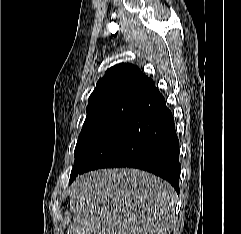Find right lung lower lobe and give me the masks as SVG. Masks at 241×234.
Returning <instances> with one entry per match:
<instances>
[{"label": "right lung lower lobe", "mask_w": 241, "mask_h": 234, "mask_svg": "<svg viewBox=\"0 0 241 234\" xmlns=\"http://www.w3.org/2000/svg\"><path fill=\"white\" fill-rule=\"evenodd\" d=\"M107 167H131L154 173L167 180L179 194V140L172 113L159 91L139 103L100 142L79 174Z\"/></svg>", "instance_id": "right-lung-lower-lobe-1"}]
</instances>
